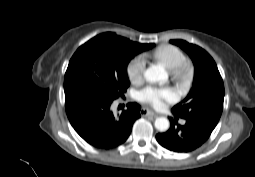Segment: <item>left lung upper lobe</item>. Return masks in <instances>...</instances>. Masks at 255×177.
Instances as JSON below:
<instances>
[{
    "label": "left lung upper lobe",
    "mask_w": 255,
    "mask_h": 177,
    "mask_svg": "<svg viewBox=\"0 0 255 177\" xmlns=\"http://www.w3.org/2000/svg\"><path fill=\"white\" fill-rule=\"evenodd\" d=\"M181 47L195 67L193 88L187 97L172 108L175 115L209 125H217L223 111L224 84L213 58L201 47L184 40H170Z\"/></svg>",
    "instance_id": "1"
}]
</instances>
